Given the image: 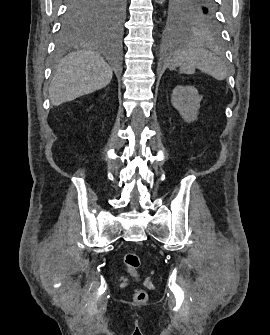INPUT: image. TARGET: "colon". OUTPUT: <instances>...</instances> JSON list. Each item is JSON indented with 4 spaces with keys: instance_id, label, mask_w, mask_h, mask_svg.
I'll use <instances>...</instances> for the list:
<instances>
[{
    "instance_id": "1",
    "label": "colon",
    "mask_w": 270,
    "mask_h": 335,
    "mask_svg": "<svg viewBox=\"0 0 270 335\" xmlns=\"http://www.w3.org/2000/svg\"><path fill=\"white\" fill-rule=\"evenodd\" d=\"M122 260L129 274L133 275L139 272L141 267V257L138 253L128 251L124 253ZM133 296L137 301H145L148 298V293L145 289L138 287L134 289Z\"/></svg>"
}]
</instances>
